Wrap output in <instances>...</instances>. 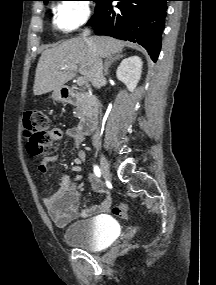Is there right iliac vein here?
<instances>
[{
	"label": "right iliac vein",
	"instance_id": "obj_1",
	"mask_svg": "<svg viewBox=\"0 0 216 285\" xmlns=\"http://www.w3.org/2000/svg\"><path fill=\"white\" fill-rule=\"evenodd\" d=\"M100 167H101V172H102L103 177L106 180H110L111 174L109 170V165L103 154H100Z\"/></svg>",
	"mask_w": 216,
	"mask_h": 285
}]
</instances>
